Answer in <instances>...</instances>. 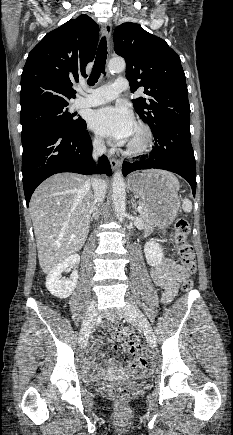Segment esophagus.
I'll return each mask as SVG.
<instances>
[{"mask_svg": "<svg viewBox=\"0 0 233 435\" xmlns=\"http://www.w3.org/2000/svg\"><path fill=\"white\" fill-rule=\"evenodd\" d=\"M102 34L106 37L108 44L110 42L111 32H112V24L110 20L105 21L101 26ZM109 161L113 170H117L121 162L117 158L112 155H109Z\"/></svg>", "mask_w": 233, "mask_h": 435, "instance_id": "esophagus-1", "label": "esophagus"}]
</instances>
